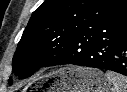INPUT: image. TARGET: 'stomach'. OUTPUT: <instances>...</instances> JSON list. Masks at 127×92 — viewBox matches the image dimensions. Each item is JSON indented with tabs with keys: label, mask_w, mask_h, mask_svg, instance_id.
I'll return each instance as SVG.
<instances>
[{
	"label": "stomach",
	"mask_w": 127,
	"mask_h": 92,
	"mask_svg": "<svg viewBox=\"0 0 127 92\" xmlns=\"http://www.w3.org/2000/svg\"><path fill=\"white\" fill-rule=\"evenodd\" d=\"M47 92H108L111 83L97 69L80 66L61 68L46 76Z\"/></svg>",
	"instance_id": "0dacf381"
}]
</instances>
